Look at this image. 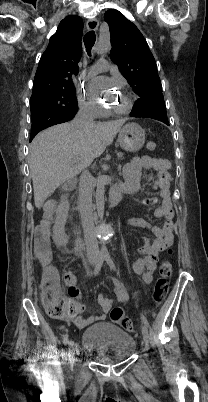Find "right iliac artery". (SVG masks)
Here are the masks:
<instances>
[{"label":"right iliac artery","instance_id":"1","mask_svg":"<svg viewBox=\"0 0 208 402\" xmlns=\"http://www.w3.org/2000/svg\"><path fill=\"white\" fill-rule=\"evenodd\" d=\"M104 259H105L104 255L99 256V259H98V261H97V263L95 265L94 272H93V274L95 276L100 272L101 267H102V265L104 263ZM68 337H69L68 333H65L64 336H63V344H64V346L68 345Z\"/></svg>","mask_w":208,"mask_h":402}]
</instances>
